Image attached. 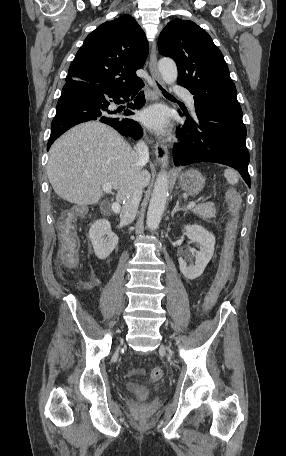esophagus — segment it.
I'll use <instances>...</instances> for the list:
<instances>
[{
	"instance_id": "34e87169",
	"label": "esophagus",
	"mask_w": 286,
	"mask_h": 456,
	"mask_svg": "<svg viewBox=\"0 0 286 456\" xmlns=\"http://www.w3.org/2000/svg\"><path fill=\"white\" fill-rule=\"evenodd\" d=\"M149 69H150V72H151V75L154 79V83H153V88H154V91H153V98L155 100L159 99L161 97V93L158 89V86H157V83L159 84H162V78H161V75L158 71V66H157V54H156V44L155 42H153L152 44V52H151V55H150V60H149ZM153 148H154V154L157 158V160L160 162V163H164V164H167L168 161H169V155H168V150L167 148L158 143V142H154L153 143Z\"/></svg>"
}]
</instances>
